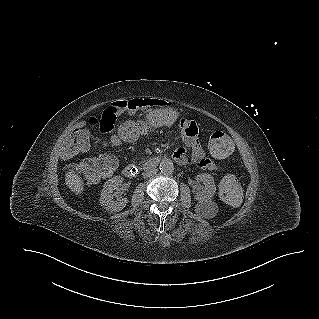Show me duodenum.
I'll return each instance as SVG.
<instances>
[{
  "mask_svg": "<svg viewBox=\"0 0 319 319\" xmlns=\"http://www.w3.org/2000/svg\"><path fill=\"white\" fill-rule=\"evenodd\" d=\"M166 155H155L150 157L144 164L146 170H151L156 168L162 160H164ZM123 174L128 178H134L138 174V167L134 164H127L123 168Z\"/></svg>",
  "mask_w": 319,
  "mask_h": 319,
  "instance_id": "duodenum-1",
  "label": "duodenum"
}]
</instances>
